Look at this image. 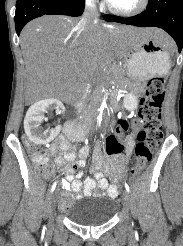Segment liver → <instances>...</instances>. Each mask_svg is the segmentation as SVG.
<instances>
[{
	"mask_svg": "<svg viewBox=\"0 0 183 246\" xmlns=\"http://www.w3.org/2000/svg\"><path fill=\"white\" fill-rule=\"evenodd\" d=\"M78 18L44 15L29 22L20 34L25 62V98L63 99L77 89L93 70L123 59L125 47L133 40L154 39L172 45L160 29L111 26L97 22L79 25Z\"/></svg>",
	"mask_w": 183,
	"mask_h": 246,
	"instance_id": "1",
	"label": "liver"
}]
</instances>
